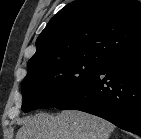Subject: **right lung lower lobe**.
Masks as SVG:
<instances>
[{
	"mask_svg": "<svg viewBox=\"0 0 141 139\" xmlns=\"http://www.w3.org/2000/svg\"><path fill=\"white\" fill-rule=\"evenodd\" d=\"M55 107L102 117L141 136V44L107 58L87 84Z\"/></svg>",
	"mask_w": 141,
	"mask_h": 139,
	"instance_id": "1",
	"label": "right lung lower lobe"
}]
</instances>
